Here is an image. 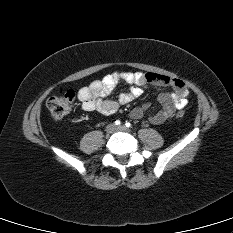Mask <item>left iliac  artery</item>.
<instances>
[{
	"instance_id": "obj_1",
	"label": "left iliac artery",
	"mask_w": 233,
	"mask_h": 233,
	"mask_svg": "<svg viewBox=\"0 0 233 233\" xmlns=\"http://www.w3.org/2000/svg\"><path fill=\"white\" fill-rule=\"evenodd\" d=\"M125 125H126V127H128V128L131 127V123H130V122H126Z\"/></svg>"
}]
</instances>
